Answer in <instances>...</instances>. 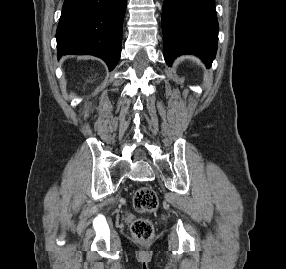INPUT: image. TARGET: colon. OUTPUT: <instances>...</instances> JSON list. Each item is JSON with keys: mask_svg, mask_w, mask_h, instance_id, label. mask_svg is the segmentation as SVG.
<instances>
[{"mask_svg": "<svg viewBox=\"0 0 286 269\" xmlns=\"http://www.w3.org/2000/svg\"><path fill=\"white\" fill-rule=\"evenodd\" d=\"M133 205L140 212H153L158 208L159 200L152 188L140 187L133 195ZM131 232L135 239L146 241L152 238L154 227L148 219L139 218L132 223Z\"/></svg>", "mask_w": 286, "mask_h": 269, "instance_id": "1", "label": "colon"}]
</instances>
